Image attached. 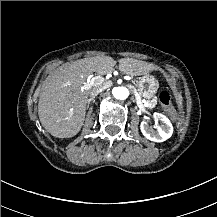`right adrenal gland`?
Wrapping results in <instances>:
<instances>
[{
  "label": "right adrenal gland",
  "instance_id": "right-adrenal-gland-1",
  "mask_svg": "<svg viewBox=\"0 0 217 217\" xmlns=\"http://www.w3.org/2000/svg\"><path fill=\"white\" fill-rule=\"evenodd\" d=\"M91 102H95V98H94V97L90 98V99L87 101V108H89Z\"/></svg>",
  "mask_w": 217,
  "mask_h": 217
}]
</instances>
